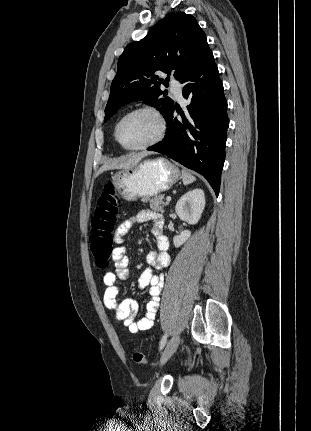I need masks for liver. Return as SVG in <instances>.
I'll list each match as a JSON object with an SVG mask.
<instances>
[{
	"label": "liver",
	"mask_w": 311,
	"mask_h": 431,
	"mask_svg": "<svg viewBox=\"0 0 311 431\" xmlns=\"http://www.w3.org/2000/svg\"><path fill=\"white\" fill-rule=\"evenodd\" d=\"M152 152H138V154H130L127 158H120L117 164H104L99 168L96 176H100L106 170H125V168H132V166H138L142 162V158L149 156Z\"/></svg>",
	"instance_id": "1"
}]
</instances>
